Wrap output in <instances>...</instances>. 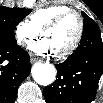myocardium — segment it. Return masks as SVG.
Segmentation results:
<instances>
[{
	"instance_id": "obj_1",
	"label": "myocardium",
	"mask_w": 103,
	"mask_h": 103,
	"mask_svg": "<svg viewBox=\"0 0 103 103\" xmlns=\"http://www.w3.org/2000/svg\"><path fill=\"white\" fill-rule=\"evenodd\" d=\"M70 16L77 17L78 30H77L75 38L70 43V45L67 46L65 49H63L62 51L55 53V56L60 59L69 56L78 47V45L83 37V33H84V19H83L82 15L76 10H73V9L67 10V11L61 13L60 15H58L57 17H55L52 21H50L47 25H45L41 30V35H44L46 32L56 28L66 18H68Z\"/></svg>"
}]
</instances>
